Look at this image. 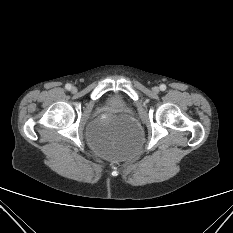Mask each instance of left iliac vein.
<instances>
[{"label": "left iliac vein", "mask_w": 233, "mask_h": 233, "mask_svg": "<svg viewBox=\"0 0 233 233\" xmlns=\"http://www.w3.org/2000/svg\"><path fill=\"white\" fill-rule=\"evenodd\" d=\"M152 91L154 93H159L160 89H159V87L155 86V87L152 88Z\"/></svg>", "instance_id": "obj_1"}]
</instances>
